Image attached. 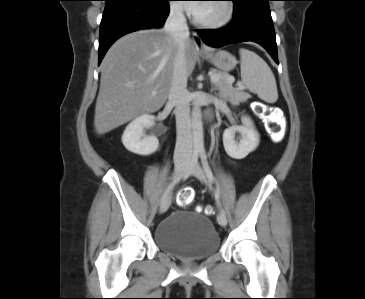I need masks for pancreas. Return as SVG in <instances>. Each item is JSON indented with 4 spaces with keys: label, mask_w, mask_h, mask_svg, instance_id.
<instances>
[{
    "label": "pancreas",
    "mask_w": 365,
    "mask_h": 299,
    "mask_svg": "<svg viewBox=\"0 0 365 299\" xmlns=\"http://www.w3.org/2000/svg\"><path fill=\"white\" fill-rule=\"evenodd\" d=\"M211 73L220 77L219 81L215 83V86L217 89H219L220 96L222 98L231 102L239 103L245 102L250 97L248 93L232 86L234 78L229 74L214 69L211 70Z\"/></svg>",
    "instance_id": "cf45deb5"
}]
</instances>
